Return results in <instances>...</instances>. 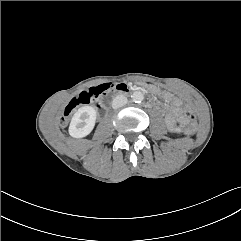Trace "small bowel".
<instances>
[{
  "label": "small bowel",
  "instance_id": "small-bowel-1",
  "mask_svg": "<svg viewBox=\"0 0 241 241\" xmlns=\"http://www.w3.org/2000/svg\"><path fill=\"white\" fill-rule=\"evenodd\" d=\"M165 97L172 104V107L168 110V113L166 116V122L168 126L171 128L175 124L176 120L182 121L181 109H180L181 101L170 94H166Z\"/></svg>",
  "mask_w": 241,
  "mask_h": 241
}]
</instances>
